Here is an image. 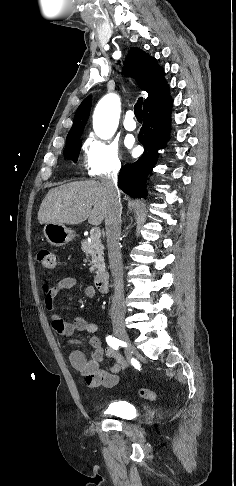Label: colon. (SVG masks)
Here are the masks:
<instances>
[{"label":"colon","instance_id":"colon-1","mask_svg":"<svg viewBox=\"0 0 236 486\" xmlns=\"http://www.w3.org/2000/svg\"><path fill=\"white\" fill-rule=\"evenodd\" d=\"M37 258L46 272L51 273L58 267V258L56 254L48 249L40 250L37 254ZM139 394L142 398L150 401H155L159 398V394L157 392L147 388H141Z\"/></svg>","mask_w":236,"mask_h":486}]
</instances>
